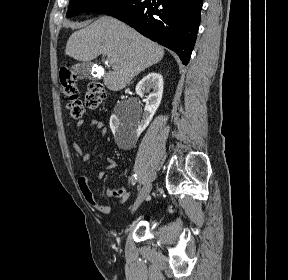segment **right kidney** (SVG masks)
Wrapping results in <instances>:
<instances>
[{
    "label": "right kidney",
    "instance_id": "ca27d5eb",
    "mask_svg": "<svg viewBox=\"0 0 288 280\" xmlns=\"http://www.w3.org/2000/svg\"><path fill=\"white\" fill-rule=\"evenodd\" d=\"M136 93L144 97V113L141 121L126 127L113 115L110 118V128L114 134L115 141L119 146L127 148L131 146L146 129L158 109L163 94V77L159 73H149L136 86Z\"/></svg>",
    "mask_w": 288,
    "mask_h": 280
}]
</instances>
